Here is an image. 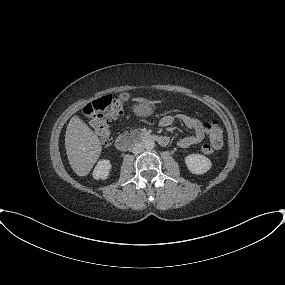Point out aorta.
Returning a JSON list of instances; mask_svg holds the SVG:
<instances>
[{"label": "aorta", "mask_w": 285, "mask_h": 285, "mask_svg": "<svg viewBox=\"0 0 285 285\" xmlns=\"http://www.w3.org/2000/svg\"><path fill=\"white\" fill-rule=\"evenodd\" d=\"M144 147L147 149V150H152L154 147H155V143L153 140L151 139H148L144 142Z\"/></svg>", "instance_id": "1"}]
</instances>
